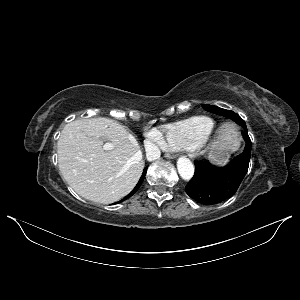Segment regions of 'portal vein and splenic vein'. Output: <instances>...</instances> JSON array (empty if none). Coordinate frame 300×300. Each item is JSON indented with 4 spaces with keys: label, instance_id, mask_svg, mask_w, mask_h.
Segmentation results:
<instances>
[{
    "label": "portal vein and splenic vein",
    "instance_id": "1",
    "mask_svg": "<svg viewBox=\"0 0 300 300\" xmlns=\"http://www.w3.org/2000/svg\"><path fill=\"white\" fill-rule=\"evenodd\" d=\"M104 150H111L113 148V144L105 143L103 146Z\"/></svg>",
    "mask_w": 300,
    "mask_h": 300
}]
</instances>
